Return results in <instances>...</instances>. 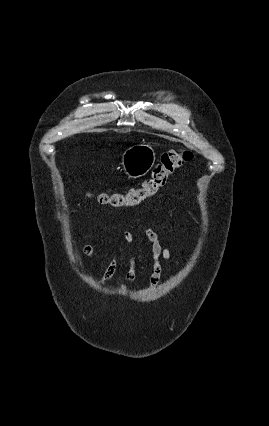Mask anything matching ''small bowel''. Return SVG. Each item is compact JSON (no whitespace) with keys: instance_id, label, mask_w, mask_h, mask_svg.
<instances>
[{"instance_id":"small-bowel-1","label":"small bowel","mask_w":269,"mask_h":426,"mask_svg":"<svg viewBox=\"0 0 269 426\" xmlns=\"http://www.w3.org/2000/svg\"><path fill=\"white\" fill-rule=\"evenodd\" d=\"M145 237L150 245L151 250V259H152V271L149 277V283L148 286L142 289L143 292H149L155 288V286L159 283L162 274H163V265L162 261H165L167 264V267H170L171 265V251L169 248H166L162 245L158 234L150 228H147L144 230ZM123 240L126 244L130 246V255L128 258V272L125 275V281L130 283L132 282L136 277V270L138 265V260L134 248V236L130 231H124L123 233ZM83 252L87 256H93L97 252V248L94 247L91 244H84L83 246ZM118 252L112 247V254H111V260L108 264V266L105 269V272L103 273L100 284L105 285L116 273L118 269ZM78 266L81 267V261L78 258Z\"/></svg>"}]
</instances>
